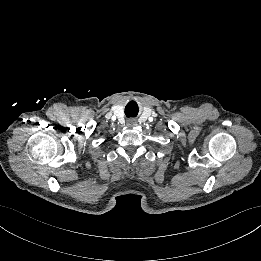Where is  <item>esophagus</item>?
<instances>
[{"mask_svg":"<svg viewBox=\"0 0 261 261\" xmlns=\"http://www.w3.org/2000/svg\"><path fill=\"white\" fill-rule=\"evenodd\" d=\"M127 125L130 126V127L136 125V120H135V119H129V120H127Z\"/></svg>","mask_w":261,"mask_h":261,"instance_id":"1","label":"esophagus"}]
</instances>
